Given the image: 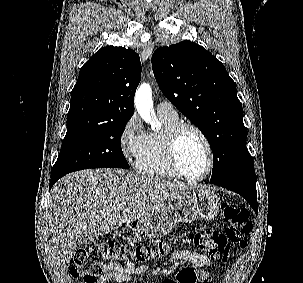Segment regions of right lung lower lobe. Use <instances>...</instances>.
<instances>
[{"label":"right lung lower lobe","instance_id":"98d812e1","mask_svg":"<svg viewBox=\"0 0 303 283\" xmlns=\"http://www.w3.org/2000/svg\"><path fill=\"white\" fill-rule=\"evenodd\" d=\"M65 174H51V180H50V189L53 186V184L56 183V181L58 179H60L62 176H64Z\"/></svg>","mask_w":303,"mask_h":283}]
</instances>
